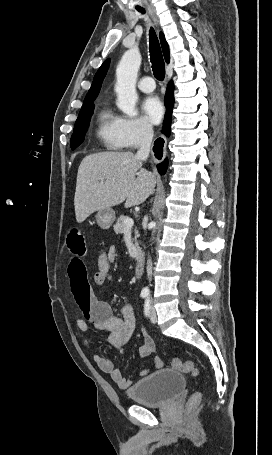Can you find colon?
Listing matches in <instances>:
<instances>
[{"instance_id": "1", "label": "colon", "mask_w": 272, "mask_h": 455, "mask_svg": "<svg viewBox=\"0 0 272 455\" xmlns=\"http://www.w3.org/2000/svg\"><path fill=\"white\" fill-rule=\"evenodd\" d=\"M111 262L108 258L107 252L102 250L99 254L96 270L94 273V281L96 284H104L110 279L109 271H110ZM172 367L179 371H182L186 374H190L193 376L199 375V369L192 361L182 360L180 358H174L172 360ZM201 394L199 392L194 393L188 403L189 409L195 407L198 402L200 401Z\"/></svg>"}]
</instances>
